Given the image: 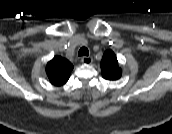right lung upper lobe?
I'll list each match as a JSON object with an SVG mask.
<instances>
[{"label":"right lung upper lobe","mask_w":172,"mask_h":134,"mask_svg":"<svg viewBox=\"0 0 172 134\" xmlns=\"http://www.w3.org/2000/svg\"><path fill=\"white\" fill-rule=\"evenodd\" d=\"M72 69L73 65L67 59L55 56L47 63L46 74L53 85L61 86L68 81Z\"/></svg>","instance_id":"cb5924a9"}]
</instances>
